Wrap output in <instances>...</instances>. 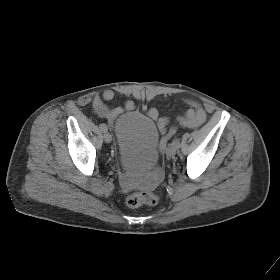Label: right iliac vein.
I'll return each mask as SVG.
<instances>
[{"label": "right iliac vein", "instance_id": "1", "mask_svg": "<svg viewBox=\"0 0 280 280\" xmlns=\"http://www.w3.org/2000/svg\"><path fill=\"white\" fill-rule=\"evenodd\" d=\"M104 140H105L106 143H110L112 141V136L108 132H105L104 133Z\"/></svg>", "mask_w": 280, "mask_h": 280}]
</instances>
